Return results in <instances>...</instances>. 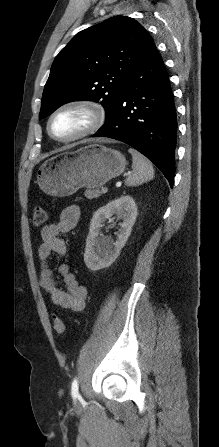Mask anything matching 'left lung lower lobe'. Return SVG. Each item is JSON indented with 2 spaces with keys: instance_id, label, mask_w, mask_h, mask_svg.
Listing matches in <instances>:
<instances>
[{
  "instance_id": "1",
  "label": "left lung lower lobe",
  "mask_w": 219,
  "mask_h": 447,
  "mask_svg": "<svg viewBox=\"0 0 219 447\" xmlns=\"http://www.w3.org/2000/svg\"><path fill=\"white\" fill-rule=\"evenodd\" d=\"M93 137L134 147L173 186L177 118L168 74L153 39L130 71L105 125Z\"/></svg>"
}]
</instances>
